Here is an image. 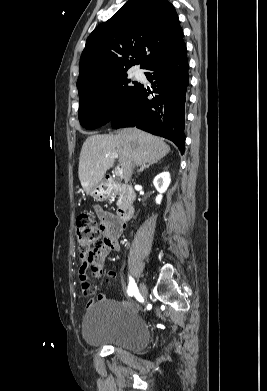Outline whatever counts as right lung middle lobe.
<instances>
[{
    "label": "right lung middle lobe",
    "mask_w": 267,
    "mask_h": 391,
    "mask_svg": "<svg viewBox=\"0 0 267 391\" xmlns=\"http://www.w3.org/2000/svg\"><path fill=\"white\" fill-rule=\"evenodd\" d=\"M140 83L127 79L126 71L107 76L79 94V121L86 129L108 123L139 91Z\"/></svg>",
    "instance_id": "obj_1"
}]
</instances>
